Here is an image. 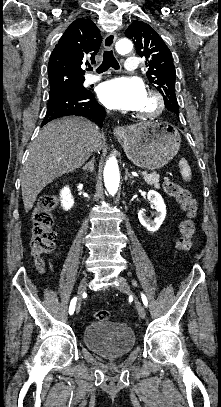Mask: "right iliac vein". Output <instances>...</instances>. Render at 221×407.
<instances>
[{"mask_svg":"<svg viewBox=\"0 0 221 407\" xmlns=\"http://www.w3.org/2000/svg\"><path fill=\"white\" fill-rule=\"evenodd\" d=\"M86 286H87V275H84V277L82 278V280L79 284V287H78V298H77V304H76L77 312H79L81 309L82 295L86 291Z\"/></svg>","mask_w":221,"mask_h":407,"instance_id":"right-iliac-vein-1","label":"right iliac vein"}]
</instances>
